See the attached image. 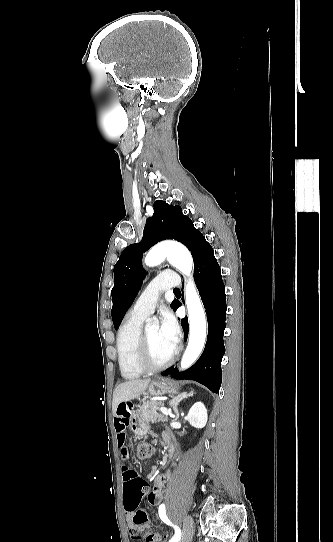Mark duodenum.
I'll list each match as a JSON object with an SVG mask.
<instances>
[{"mask_svg":"<svg viewBox=\"0 0 333 542\" xmlns=\"http://www.w3.org/2000/svg\"><path fill=\"white\" fill-rule=\"evenodd\" d=\"M163 439H164V442L166 443V445L168 446L169 448V451H171L172 449V442H173V438L170 434H165L163 436Z\"/></svg>","mask_w":333,"mask_h":542,"instance_id":"410a0bca","label":"duodenum"}]
</instances>
